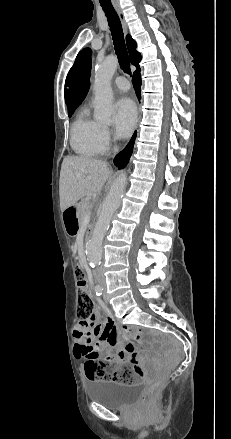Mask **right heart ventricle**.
<instances>
[{"label":"right heart ventricle","mask_w":231,"mask_h":439,"mask_svg":"<svg viewBox=\"0 0 231 439\" xmlns=\"http://www.w3.org/2000/svg\"><path fill=\"white\" fill-rule=\"evenodd\" d=\"M98 127L99 123L90 116L86 108L78 111L70 132V144L76 154L93 157L102 152L97 138Z\"/></svg>","instance_id":"1"}]
</instances>
